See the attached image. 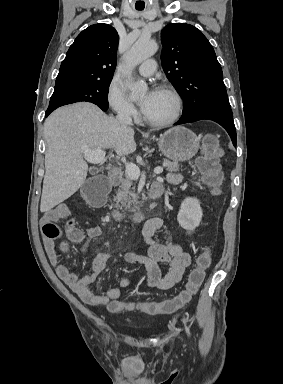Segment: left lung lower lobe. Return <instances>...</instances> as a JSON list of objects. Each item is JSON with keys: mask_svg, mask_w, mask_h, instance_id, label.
I'll use <instances>...</instances> for the list:
<instances>
[{"mask_svg": "<svg viewBox=\"0 0 283 384\" xmlns=\"http://www.w3.org/2000/svg\"><path fill=\"white\" fill-rule=\"evenodd\" d=\"M203 119L213 120L219 123L223 128L226 129L232 139L233 145L236 146V130L231 109L203 111L192 117L180 119L177 123H175V125L191 123Z\"/></svg>", "mask_w": 283, "mask_h": 384, "instance_id": "1", "label": "left lung lower lobe"}]
</instances>
